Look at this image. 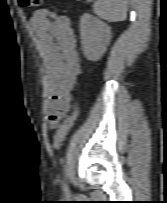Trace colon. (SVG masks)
<instances>
[{"label": "colon", "instance_id": "5ec220e1", "mask_svg": "<svg viewBox=\"0 0 167 203\" xmlns=\"http://www.w3.org/2000/svg\"><path fill=\"white\" fill-rule=\"evenodd\" d=\"M19 5L23 8H39L43 5V0H18ZM78 114L77 106L75 105L71 114L63 121L58 128L53 141V147L58 150L63 145V142L71 129Z\"/></svg>", "mask_w": 167, "mask_h": 203}]
</instances>
